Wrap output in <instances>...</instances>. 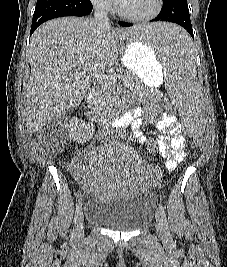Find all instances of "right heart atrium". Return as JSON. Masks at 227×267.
I'll return each instance as SVG.
<instances>
[{
	"mask_svg": "<svg viewBox=\"0 0 227 267\" xmlns=\"http://www.w3.org/2000/svg\"><path fill=\"white\" fill-rule=\"evenodd\" d=\"M94 7L103 11L109 12L113 9L114 0H90Z\"/></svg>",
	"mask_w": 227,
	"mask_h": 267,
	"instance_id": "right-heart-atrium-1",
	"label": "right heart atrium"
}]
</instances>
